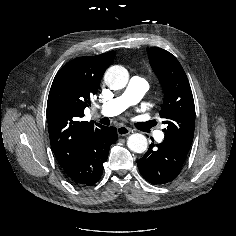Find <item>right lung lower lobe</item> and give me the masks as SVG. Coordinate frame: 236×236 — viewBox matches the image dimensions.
Here are the masks:
<instances>
[{"mask_svg":"<svg viewBox=\"0 0 236 236\" xmlns=\"http://www.w3.org/2000/svg\"><path fill=\"white\" fill-rule=\"evenodd\" d=\"M117 140L115 127L102 126L95 130L85 145L78 162L66 172L69 180L80 187L94 185L103 172L111 144Z\"/></svg>","mask_w":236,"mask_h":236,"instance_id":"obj_1","label":"right lung lower lobe"}]
</instances>
